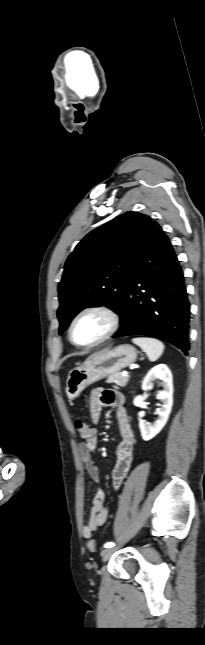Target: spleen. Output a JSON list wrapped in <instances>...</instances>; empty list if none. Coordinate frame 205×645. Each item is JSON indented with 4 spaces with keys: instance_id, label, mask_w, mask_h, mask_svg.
Segmentation results:
<instances>
[{
    "instance_id": "obj_1",
    "label": "spleen",
    "mask_w": 205,
    "mask_h": 645,
    "mask_svg": "<svg viewBox=\"0 0 205 645\" xmlns=\"http://www.w3.org/2000/svg\"><path fill=\"white\" fill-rule=\"evenodd\" d=\"M132 342L139 346L152 362L156 361L164 351V344L154 338L138 337L133 338Z\"/></svg>"
}]
</instances>
